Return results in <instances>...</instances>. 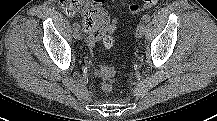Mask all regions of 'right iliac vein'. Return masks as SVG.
<instances>
[{
    "label": "right iliac vein",
    "instance_id": "1",
    "mask_svg": "<svg viewBox=\"0 0 217 121\" xmlns=\"http://www.w3.org/2000/svg\"><path fill=\"white\" fill-rule=\"evenodd\" d=\"M73 36H74V38L77 39V40H80V39H81V35H80V33L78 32V30H75V31H74Z\"/></svg>",
    "mask_w": 217,
    "mask_h": 121
}]
</instances>
